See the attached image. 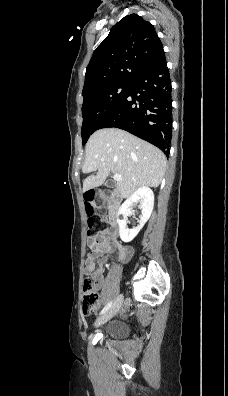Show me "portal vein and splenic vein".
Masks as SVG:
<instances>
[{
  "label": "portal vein and splenic vein",
  "mask_w": 228,
  "mask_h": 396,
  "mask_svg": "<svg viewBox=\"0 0 228 396\" xmlns=\"http://www.w3.org/2000/svg\"><path fill=\"white\" fill-rule=\"evenodd\" d=\"M113 179L116 181H121L122 180V176L120 174H114Z\"/></svg>",
  "instance_id": "portal-vein-and-splenic-vein-1"
}]
</instances>
